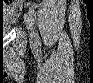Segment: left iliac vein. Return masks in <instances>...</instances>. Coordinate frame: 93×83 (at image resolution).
Returning a JSON list of instances; mask_svg holds the SVG:
<instances>
[{
	"label": "left iliac vein",
	"instance_id": "left-iliac-vein-1",
	"mask_svg": "<svg viewBox=\"0 0 93 83\" xmlns=\"http://www.w3.org/2000/svg\"><path fill=\"white\" fill-rule=\"evenodd\" d=\"M24 22L28 28L30 40L33 42L34 41L33 22L30 14H26L24 16Z\"/></svg>",
	"mask_w": 93,
	"mask_h": 83
}]
</instances>
